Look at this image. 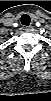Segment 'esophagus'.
<instances>
[{
	"instance_id": "34e87169",
	"label": "esophagus",
	"mask_w": 51,
	"mask_h": 101,
	"mask_svg": "<svg viewBox=\"0 0 51 101\" xmlns=\"http://www.w3.org/2000/svg\"><path fill=\"white\" fill-rule=\"evenodd\" d=\"M32 29H33L32 26H24V27H23V30H24V31H31Z\"/></svg>"
}]
</instances>
